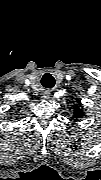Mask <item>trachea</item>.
<instances>
[{"mask_svg": "<svg viewBox=\"0 0 101 180\" xmlns=\"http://www.w3.org/2000/svg\"><path fill=\"white\" fill-rule=\"evenodd\" d=\"M54 84H55V80L53 77H51V79L49 81H47V84L46 85L43 84V86H45L47 88H52L54 86Z\"/></svg>", "mask_w": 101, "mask_h": 180, "instance_id": "obj_1", "label": "trachea"}]
</instances>
